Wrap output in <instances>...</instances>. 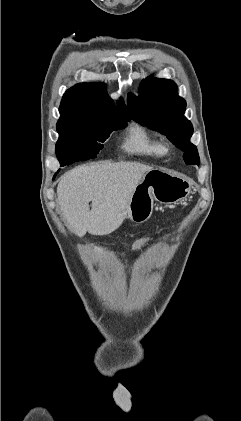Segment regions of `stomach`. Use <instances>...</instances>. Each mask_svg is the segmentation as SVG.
Masks as SVG:
<instances>
[{
	"instance_id": "0dacf381",
	"label": "stomach",
	"mask_w": 241,
	"mask_h": 421,
	"mask_svg": "<svg viewBox=\"0 0 241 421\" xmlns=\"http://www.w3.org/2000/svg\"><path fill=\"white\" fill-rule=\"evenodd\" d=\"M191 185V181L181 175L154 168L135 187L123 218L143 223L152 215L154 200L166 205L176 204L188 197Z\"/></svg>"
}]
</instances>
